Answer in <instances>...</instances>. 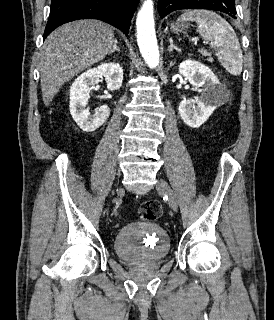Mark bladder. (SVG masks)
<instances>
[{
	"label": "bladder",
	"instance_id": "1",
	"mask_svg": "<svg viewBox=\"0 0 274 320\" xmlns=\"http://www.w3.org/2000/svg\"><path fill=\"white\" fill-rule=\"evenodd\" d=\"M115 254L130 263H151L163 260L170 251V239L159 225L131 222L122 226L113 241Z\"/></svg>",
	"mask_w": 274,
	"mask_h": 320
}]
</instances>
